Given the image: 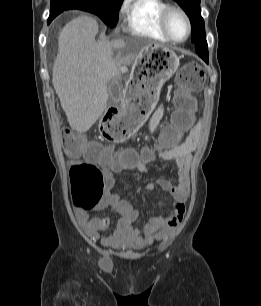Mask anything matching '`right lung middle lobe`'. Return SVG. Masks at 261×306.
Instances as JSON below:
<instances>
[{
  "instance_id": "1",
  "label": "right lung middle lobe",
  "mask_w": 261,
  "mask_h": 306,
  "mask_svg": "<svg viewBox=\"0 0 261 306\" xmlns=\"http://www.w3.org/2000/svg\"><path fill=\"white\" fill-rule=\"evenodd\" d=\"M123 0H76L51 2L50 16L55 18L58 14L69 9H79L99 16L102 21L114 27L118 21V10Z\"/></svg>"
}]
</instances>
